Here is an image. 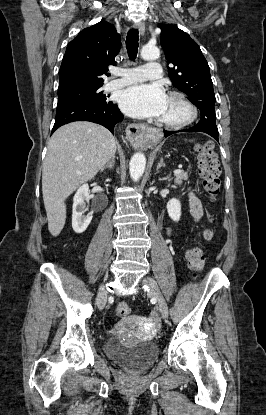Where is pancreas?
Here are the masks:
<instances>
[{"label":"pancreas","mask_w":266,"mask_h":415,"mask_svg":"<svg viewBox=\"0 0 266 415\" xmlns=\"http://www.w3.org/2000/svg\"><path fill=\"white\" fill-rule=\"evenodd\" d=\"M188 179L187 172H182L180 174H175V183L181 184L183 181H186Z\"/></svg>","instance_id":"1"}]
</instances>
